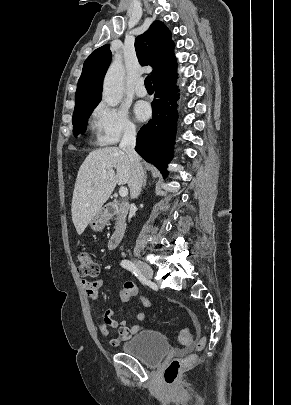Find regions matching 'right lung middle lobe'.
Here are the masks:
<instances>
[{"mask_svg":"<svg viewBox=\"0 0 291 405\" xmlns=\"http://www.w3.org/2000/svg\"><path fill=\"white\" fill-rule=\"evenodd\" d=\"M95 107L96 106L73 113L72 123L74 136H77L79 133L83 134L86 131L88 118Z\"/></svg>","mask_w":291,"mask_h":405,"instance_id":"right-lung-middle-lobe-1","label":"right lung middle lobe"}]
</instances>
